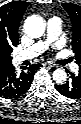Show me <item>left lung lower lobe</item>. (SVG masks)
I'll list each match as a JSON object with an SVG mask.
<instances>
[{"label":"left lung lower lobe","instance_id":"1","mask_svg":"<svg viewBox=\"0 0 81 124\" xmlns=\"http://www.w3.org/2000/svg\"><path fill=\"white\" fill-rule=\"evenodd\" d=\"M55 89L62 94L71 99L81 98V70L77 75L71 73L70 80L65 84L55 85Z\"/></svg>","mask_w":81,"mask_h":124}]
</instances>
